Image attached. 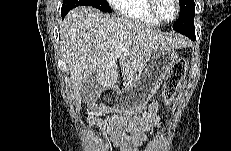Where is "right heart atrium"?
I'll use <instances>...</instances> for the list:
<instances>
[{
    "label": "right heart atrium",
    "mask_w": 231,
    "mask_h": 151,
    "mask_svg": "<svg viewBox=\"0 0 231 151\" xmlns=\"http://www.w3.org/2000/svg\"><path fill=\"white\" fill-rule=\"evenodd\" d=\"M120 1V0H119ZM112 3H117L118 2V0H113V1H111Z\"/></svg>",
    "instance_id": "right-heart-atrium-1"
}]
</instances>
